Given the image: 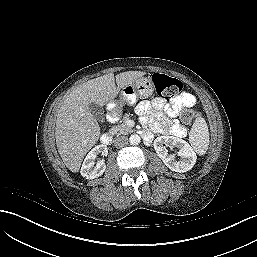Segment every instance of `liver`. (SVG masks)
I'll list each match as a JSON object with an SVG mask.
<instances>
[{
	"mask_svg": "<svg viewBox=\"0 0 257 257\" xmlns=\"http://www.w3.org/2000/svg\"><path fill=\"white\" fill-rule=\"evenodd\" d=\"M143 75L145 72L127 71L114 78L109 73L83 83L66 97L57 115L55 138L58 152L71 172L79 171L84 156L101 134L89 104L104 106Z\"/></svg>",
	"mask_w": 257,
	"mask_h": 257,
	"instance_id": "6515ba94",
	"label": "liver"
}]
</instances>
